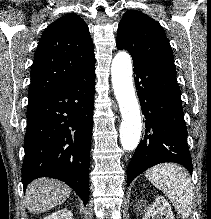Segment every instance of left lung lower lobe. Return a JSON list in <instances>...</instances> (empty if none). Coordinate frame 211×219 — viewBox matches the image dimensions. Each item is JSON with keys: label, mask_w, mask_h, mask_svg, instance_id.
Masks as SVG:
<instances>
[{"label": "left lung lower lobe", "mask_w": 211, "mask_h": 219, "mask_svg": "<svg viewBox=\"0 0 211 219\" xmlns=\"http://www.w3.org/2000/svg\"><path fill=\"white\" fill-rule=\"evenodd\" d=\"M135 84L145 115L144 137L128 167L127 186L148 168L175 162L193 171L175 65L133 59Z\"/></svg>", "instance_id": "obj_1"}]
</instances>
